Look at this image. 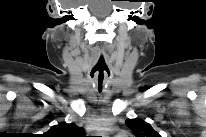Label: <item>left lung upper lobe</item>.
<instances>
[{
	"mask_svg": "<svg viewBox=\"0 0 206 137\" xmlns=\"http://www.w3.org/2000/svg\"><path fill=\"white\" fill-rule=\"evenodd\" d=\"M126 124L136 137H160L150 124L141 119H128Z\"/></svg>",
	"mask_w": 206,
	"mask_h": 137,
	"instance_id": "left-lung-upper-lobe-1",
	"label": "left lung upper lobe"
}]
</instances>
